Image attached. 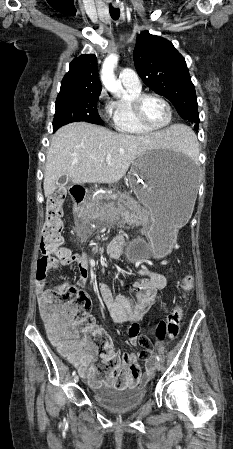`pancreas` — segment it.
I'll use <instances>...</instances> for the list:
<instances>
[{
    "label": "pancreas",
    "instance_id": "cf45deb5",
    "mask_svg": "<svg viewBox=\"0 0 233 449\" xmlns=\"http://www.w3.org/2000/svg\"><path fill=\"white\" fill-rule=\"evenodd\" d=\"M127 199L131 201V198L126 194H116V195H97L93 200L88 203L86 207L87 219L89 221L95 219H106L114 218L122 209V207H115V202H110L109 200H122ZM136 209L132 210L131 218L133 222L145 225L148 223V211L146 209L140 208L135 202L131 201Z\"/></svg>",
    "mask_w": 233,
    "mask_h": 449
}]
</instances>
